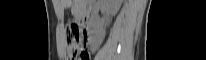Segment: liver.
Returning <instances> with one entry per match:
<instances>
[{
  "mask_svg": "<svg viewBox=\"0 0 206 60\" xmlns=\"http://www.w3.org/2000/svg\"><path fill=\"white\" fill-rule=\"evenodd\" d=\"M59 2L61 4L62 8H65V7H67V6H69L71 4V0H59ZM108 2L110 4H112L111 5V12L113 14L117 13V11H118V9H119V7L121 5L122 0H110Z\"/></svg>",
  "mask_w": 206,
  "mask_h": 60,
  "instance_id": "liver-1",
  "label": "liver"
}]
</instances>
